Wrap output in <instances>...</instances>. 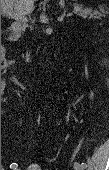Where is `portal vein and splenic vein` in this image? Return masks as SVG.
Instances as JSON below:
<instances>
[{"label": "portal vein and splenic vein", "instance_id": "18ae733b", "mask_svg": "<svg viewBox=\"0 0 109 170\" xmlns=\"http://www.w3.org/2000/svg\"><path fill=\"white\" fill-rule=\"evenodd\" d=\"M2 13L8 17H11L13 19L16 20H20V21H26L25 15L22 13H17L14 12L12 8L9 9V7H3L2 9ZM72 16V13H68L67 17ZM58 21H63V16L58 18Z\"/></svg>", "mask_w": 109, "mask_h": 170}]
</instances>
